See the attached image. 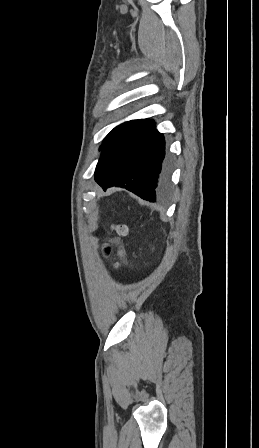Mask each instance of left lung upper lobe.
Instances as JSON below:
<instances>
[{
    "label": "left lung upper lobe",
    "mask_w": 259,
    "mask_h": 448,
    "mask_svg": "<svg viewBox=\"0 0 259 448\" xmlns=\"http://www.w3.org/2000/svg\"><path fill=\"white\" fill-rule=\"evenodd\" d=\"M125 123L120 124L119 126L115 127L112 131H110L108 133V135L104 138L102 144L104 145ZM102 145V146H103ZM102 146H100L99 149L102 148Z\"/></svg>",
    "instance_id": "left-lung-upper-lobe-1"
}]
</instances>
